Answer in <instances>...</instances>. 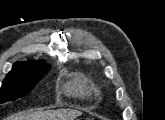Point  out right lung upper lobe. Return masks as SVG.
Instances as JSON below:
<instances>
[{
	"label": "right lung upper lobe",
	"mask_w": 165,
	"mask_h": 120,
	"mask_svg": "<svg viewBox=\"0 0 165 120\" xmlns=\"http://www.w3.org/2000/svg\"><path fill=\"white\" fill-rule=\"evenodd\" d=\"M21 65H40V66H50L49 64H46L45 61H27V62H16L14 63L13 67H18Z\"/></svg>",
	"instance_id": "obj_1"
}]
</instances>
